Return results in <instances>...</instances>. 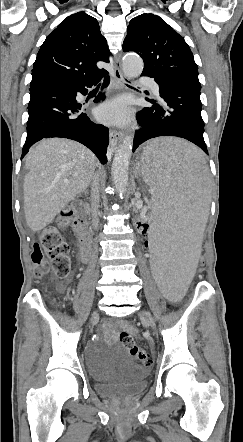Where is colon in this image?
I'll return each mask as SVG.
<instances>
[{
	"instance_id": "5ec220e1",
	"label": "colon",
	"mask_w": 243,
	"mask_h": 442,
	"mask_svg": "<svg viewBox=\"0 0 243 442\" xmlns=\"http://www.w3.org/2000/svg\"><path fill=\"white\" fill-rule=\"evenodd\" d=\"M78 209V204L65 205L58 218L60 226H69ZM129 227L134 229L135 233L140 234V241L148 246L150 241V223L146 221L144 216H137L135 222L129 224ZM45 256L51 262V268L57 277H67L71 270V261L69 258V246L62 238L59 231L55 227H48L43 230L40 241L33 246L31 253V260L34 265V274L36 277H43L49 270V263ZM208 261V256L202 254L196 261L195 268L199 271L204 270V263ZM119 342L125 347L130 355L139 361L144 366L153 364V357L149 356L147 351L138 346L133 337L123 331L119 334Z\"/></svg>"
}]
</instances>
